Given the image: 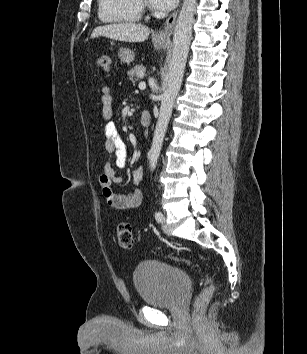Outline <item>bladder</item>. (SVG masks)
Masks as SVG:
<instances>
[{
	"label": "bladder",
	"instance_id": "bladder-1",
	"mask_svg": "<svg viewBox=\"0 0 307 354\" xmlns=\"http://www.w3.org/2000/svg\"><path fill=\"white\" fill-rule=\"evenodd\" d=\"M133 283L145 304L160 307L180 305L191 288L184 270L157 260L140 262L133 271Z\"/></svg>",
	"mask_w": 307,
	"mask_h": 354
}]
</instances>
